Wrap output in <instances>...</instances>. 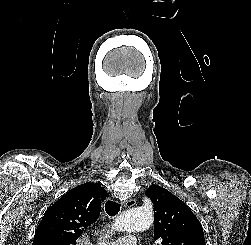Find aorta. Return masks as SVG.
Segmentation results:
<instances>
[{
	"label": "aorta",
	"mask_w": 251,
	"mask_h": 245,
	"mask_svg": "<svg viewBox=\"0 0 251 245\" xmlns=\"http://www.w3.org/2000/svg\"><path fill=\"white\" fill-rule=\"evenodd\" d=\"M152 223V211L150 209L136 207L128 209L119 218H117L112 224V230L126 233L138 232L148 229Z\"/></svg>",
	"instance_id": "obj_1"
}]
</instances>
